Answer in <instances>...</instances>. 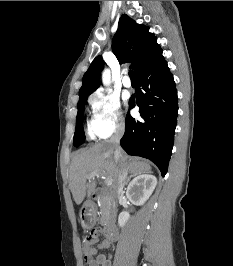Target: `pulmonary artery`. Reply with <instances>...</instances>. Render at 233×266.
<instances>
[{
    "label": "pulmonary artery",
    "mask_w": 233,
    "mask_h": 266,
    "mask_svg": "<svg viewBox=\"0 0 233 266\" xmlns=\"http://www.w3.org/2000/svg\"><path fill=\"white\" fill-rule=\"evenodd\" d=\"M122 84L124 87L126 88H130L132 86V82L130 80V78L128 77V75H124L122 78Z\"/></svg>",
    "instance_id": "obj_1"
}]
</instances>
